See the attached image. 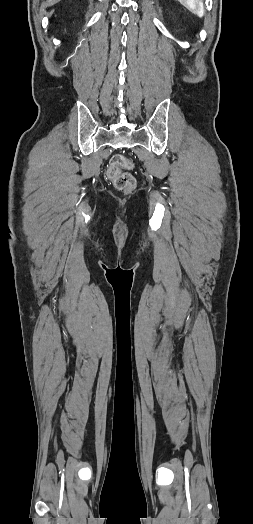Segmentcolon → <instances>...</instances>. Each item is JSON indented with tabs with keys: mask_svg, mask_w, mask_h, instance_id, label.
Segmentation results:
<instances>
[{
	"mask_svg": "<svg viewBox=\"0 0 253 524\" xmlns=\"http://www.w3.org/2000/svg\"><path fill=\"white\" fill-rule=\"evenodd\" d=\"M132 163L124 156L117 155L112 158L107 168V177L118 190L130 192L136 186L135 178L123 169L132 168Z\"/></svg>",
	"mask_w": 253,
	"mask_h": 524,
	"instance_id": "obj_1",
	"label": "colon"
}]
</instances>
